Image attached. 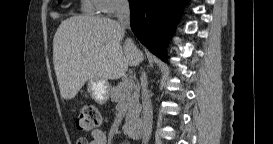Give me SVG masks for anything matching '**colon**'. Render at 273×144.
I'll list each match as a JSON object with an SVG mask.
<instances>
[{"mask_svg":"<svg viewBox=\"0 0 273 144\" xmlns=\"http://www.w3.org/2000/svg\"><path fill=\"white\" fill-rule=\"evenodd\" d=\"M101 125V115L91 104L83 105L76 120L77 129L81 132L96 131Z\"/></svg>","mask_w":273,"mask_h":144,"instance_id":"5ec220e1","label":"colon"}]
</instances>
